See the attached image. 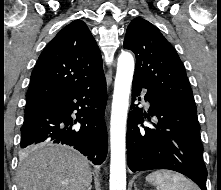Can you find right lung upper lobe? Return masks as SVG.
Masks as SVG:
<instances>
[{
    "label": "right lung upper lobe",
    "mask_w": 221,
    "mask_h": 190,
    "mask_svg": "<svg viewBox=\"0 0 221 190\" xmlns=\"http://www.w3.org/2000/svg\"><path fill=\"white\" fill-rule=\"evenodd\" d=\"M102 74V57L95 39L83 21L75 20L58 32L39 56L31 74L25 111Z\"/></svg>",
    "instance_id": "obj_1"
}]
</instances>
